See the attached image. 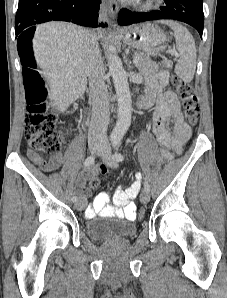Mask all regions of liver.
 Listing matches in <instances>:
<instances>
[{"label": "liver", "mask_w": 227, "mask_h": 298, "mask_svg": "<svg viewBox=\"0 0 227 298\" xmlns=\"http://www.w3.org/2000/svg\"><path fill=\"white\" fill-rule=\"evenodd\" d=\"M87 30L66 22H48L37 27L33 51L49 84L50 105L64 112L87 87L84 50Z\"/></svg>", "instance_id": "liver-1"}]
</instances>
